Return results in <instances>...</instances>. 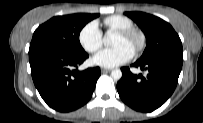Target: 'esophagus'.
Returning <instances> with one entry per match:
<instances>
[{
	"instance_id": "1",
	"label": "esophagus",
	"mask_w": 203,
	"mask_h": 123,
	"mask_svg": "<svg viewBox=\"0 0 203 123\" xmlns=\"http://www.w3.org/2000/svg\"><path fill=\"white\" fill-rule=\"evenodd\" d=\"M111 69H107V68H101V72L106 73V72H110Z\"/></svg>"
}]
</instances>
